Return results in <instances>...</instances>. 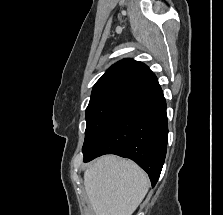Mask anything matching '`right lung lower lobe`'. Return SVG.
I'll list each match as a JSON object with an SVG mask.
<instances>
[{
	"mask_svg": "<svg viewBox=\"0 0 223 215\" xmlns=\"http://www.w3.org/2000/svg\"><path fill=\"white\" fill-rule=\"evenodd\" d=\"M166 101L160 89L146 96L101 139L84 161L116 154L135 161L149 175L152 187L160 176L167 149Z\"/></svg>",
	"mask_w": 223,
	"mask_h": 215,
	"instance_id": "right-lung-lower-lobe-1",
	"label": "right lung lower lobe"
}]
</instances>
